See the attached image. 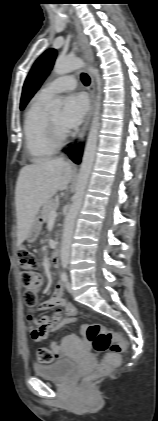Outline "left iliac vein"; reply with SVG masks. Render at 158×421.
I'll list each match as a JSON object with an SVG mask.
<instances>
[{"label": "left iliac vein", "instance_id": "obj_1", "mask_svg": "<svg viewBox=\"0 0 158 421\" xmlns=\"http://www.w3.org/2000/svg\"><path fill=\"white\" fill-rule=\"evenodd\" d=\"M66 289L68 290V292H72V285H71V282H66Z\"/></svg>", "mask_w": 158, "mask_h": 421}]
</instances>
